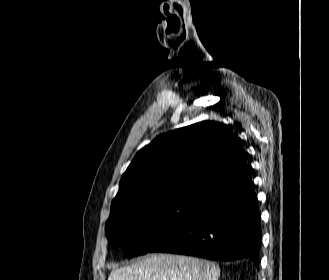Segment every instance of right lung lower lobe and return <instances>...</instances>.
Masks as SVG:
<instances>
[{"label":"right lung lower lobe","mask_w":329,"mask_h":280,"mask_svg":"<svg viewBox=\"0 0 329 280\" xmlns=\"http://www.w3.org/2000/svg\"><path fill=\"white\" fill-rule=\"evenodd\" d=\"M251 171L246 164L217 180L184 223L149 252L220 261L249 259L258 267L260 214Z\"/></svg>","instance_id":"98d812e1"}]
</instances>
